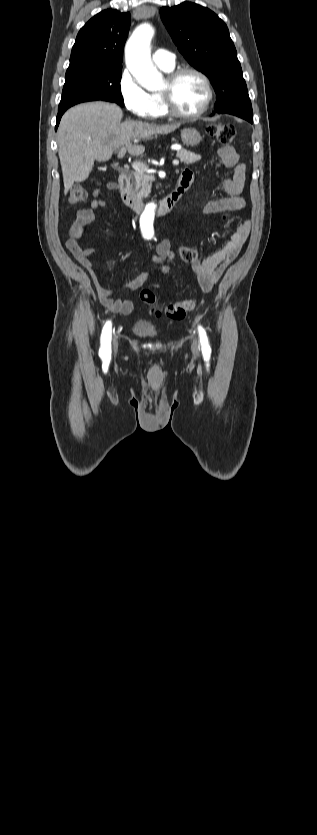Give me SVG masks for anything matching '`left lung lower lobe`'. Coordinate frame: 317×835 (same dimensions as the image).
<instances>
[{"instance_id":"0a47b994","label":"left lung lower lobe","mask_w":317,"mask_h":835,"mask_svg":"<svg viewBox=\"0 0 317 835\" xmlns=\"http://www.w3.org/2000/svg\"><path fill=\"white\" fill-rule=\"evenodd\" d=\"M218 113H226V114L235 115V116H238L242 119H245V120L249 121L250 123H253V116L252 115H246V114L238 112V111H225V112H218Z\"/></svg>"}]
</instances>
